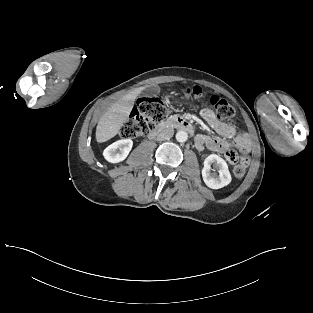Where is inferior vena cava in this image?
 Instances as JSON below:
<instances>
[{"label":"inferior vena cava","instance_id":"obj_1","mask_svg":"<svg viewBox=\"0 0 313 313\" xmlns=\"http://www.w3.org/2000/svg\"><path fill=\"white\" fill-rule=\"evenodd\" d=\"M173 133H174L173 129H165L157 136V140L158 141L168 140L173 136Z\"/></svg>","mask_w":313,"mask_h":313}]
</instances>
